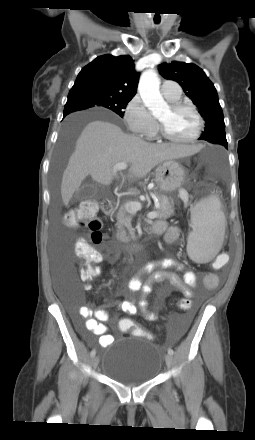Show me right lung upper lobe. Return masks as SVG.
I'll list each match as a JSON object with an SVG mask.
<instances>
[{
  "mask_svg": "<svg viewBox=\"0 0 255 440\" xmlns=\"http://www.w3.org/2000/svg\"><path fill=\"white\" fill-rule=\"evenodd\" d=\"M139 73L130 56L102 55L85 66L69 93L98 91L131 97L136 94Z\"/></svg>",
  "mask_w": 255,
  "mask_h": 440,
  "instance_id": "obj_1",
  "label": "right lung upper lobe"
}]
</instances>
